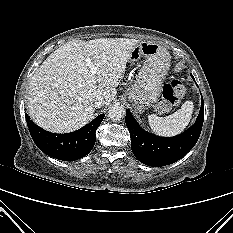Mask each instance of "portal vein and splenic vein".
<instances>
[{
    "instance_id": "1",
    "label": "portal vein and splenic vein",
    "mask_w": 233,
    "mask_h": 233,
    "mask_svg": "<svg viewBox=\"0 0 233 233\" xmlns=\"http://www.w3.org/2000/svg\"><path fill=\"white\" fill-rule=\"evenodd\" d=\"M85 62H86L87 66H88L89 69H90V73H91L92 75H95V74L97 73V67H95V65L91 62V59H90L89 57H87V58L85 59Z\"/></svg>"
}]
</instances>
